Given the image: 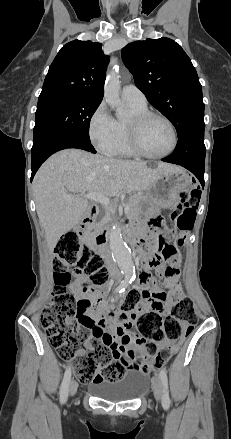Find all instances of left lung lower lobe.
Masks as SVG:
<instances>
[{
  "label": "left lung lower lobe",
  "instance_id": "1",
  "mask_svg": "<svg viewBox=\"0 0 231 439\" xmlns=\"http://www.w3.org/2000/svg\"><path fill=\"white\" fill-rule=\"evenodd\" d=\"M205 124L193 125L185 129L178 138L175 151L162 159L164 162L181 165L191 171L204 187V163L206 148L204 145Z\"/></svg>",
  "mask_w": 231,
  "mask_h": 439
}]
</instances>
